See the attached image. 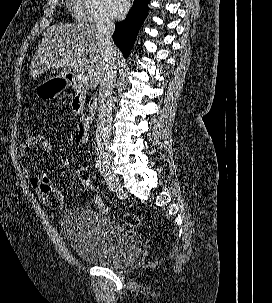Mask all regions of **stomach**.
Returning a JSON list of instances; mask_svg holds the SVG:
<instances>
[{
    "mask_svg": "<svg viewBox=\"0 0 272 303\" xmlns=\"http://www.w3.org/2000/svg\"><path fill=\"white\" fill-rule=\"evenodd\" d=\"M67 86L68 82L65 78H52L39 84L35 88V94L39 98L51 99L59 95Z\"/></svg>",
    "mask_w": 272,
    "mask_h": 303,
    "instance_id": "0dacf381",
    "label": "stomach"
}]
</instances>
